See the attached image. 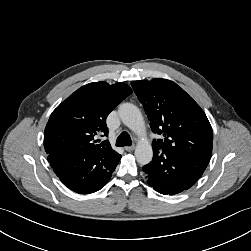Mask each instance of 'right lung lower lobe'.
I'll use <instances>...</instances> for the list:
<instances>
[{
    "label": "right lung lower lobe",
    "mask_w": 251,
    "mask_h": 251,
    "mask_svg": "<svg viewBox=\"0 0 251 251\" xmlns=\"http://www.w3.org/2000/svg\"><path fill=\"white\" fill-rule=\"evenodd\" d=\"M121 155L107 167L101 156L62 148L48 154V161L56 175L72 191L90 194L100 190L109 181Z\"/></svg>",
    "instance_id": "obj_1"
}]
</instances>
